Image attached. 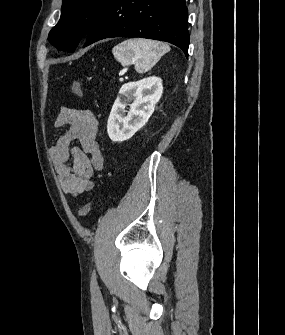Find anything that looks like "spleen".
<instances>
[{
  "mask_svg": "<svg viewBox=\"0 0 285 335\" xmlns=\"http://www.w3.org/2000/svg\"><path fill=\"white\" fill-rule=\"evenodd\" d=\"M167 52H170L168 44H162L156 40H144V38L125 40L112 50L114 58L120 62L121 66H129L135 62L137 72H148Z\"/></svg>",
  "mask_w": 285,
  "mask_h": 335,
  "instance_id": "3e777b00",
  "label": "spleen"
}]
</instances>
